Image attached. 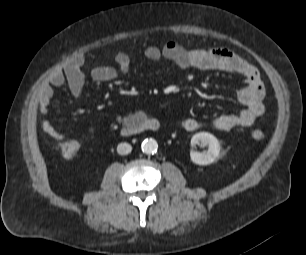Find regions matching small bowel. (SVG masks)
<instances>
[{"instance_id": "c3829d8e", "label": "small bowel", "mask_w": 306, "mask_h": 255, "mask_svg": "<svg viewBox=\"0 0 306 255\" xmlns=\"http://www.w3.org/2000/svg\"><path fill=\"white\" fill-rule=\"evenodd\" d=\"M144 56L152 62H160L162 59L169 60L181 70L220 71L244 79V86L237 92V100L243 106L240 111L218 115L209 122L195 118L181 119L178 125L185 131L193 132L206 127L220 131H229L236 127H250L264 113L265 91L258 70L227 48L187 49L177 42L170 41L161 48L154 45L148 46L144 51ZM84 61L83 56H76L62 69L50 75L48 82L42 86L37 96L39 110L42 114L48 112L54 87L67 85L74 98L81 96L85 84V75L82 70ZM114 61L115 65L94 66L90 71L92 79L96 82L113 81L130 71L131 58L127 53L118 52ZM145 117L146 114L139 111L129 116L126 121L131 123ZM42 130L56 140L64 138V134L48 120L42 122Z\"/></svg>"}]
</instances>
